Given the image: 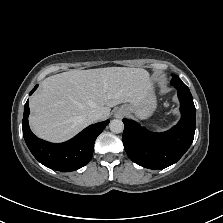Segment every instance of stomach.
<instances>
[{
	"label": "stomach",
	"instance_id": "stomach-1",
	"mask_svg": "<svg viewBox=\"0 0 223 223\" xmlns=\"http://www.w3.org/2000/svg\"><path fill=\"white\" fill-rule=\"evenodd\" d=\"M158 107L156 92L153 87L147 90L143 97L133 103L122 105L118 110L124 109L126 116L133 115L138 120L151 117Z\"/></svg>",
	"mask_w": 223,
	"mask_h": 223
}]
</instances>
